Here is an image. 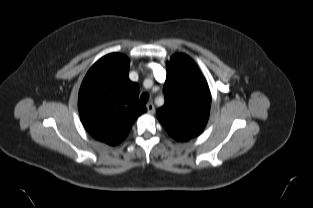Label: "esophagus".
I'll use <instances>...</instances> for the list:
<instances>
[{"label":"esophagus","mask_w":313,"mask_h":208,"mask_svg":"<svg viewBox=\"0 0 313 208\" xmlns=\"http://www.w3.org/2000/svg\"><path fill=\"white\" fill-rule=\"evenodd\" d=\"M146 107H147V110L149 113L153 114L155 112V107H154L153 103H148L146 105Z\"/></svg>","instance_id":"34e87169"}]
</instances>
